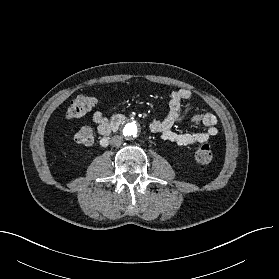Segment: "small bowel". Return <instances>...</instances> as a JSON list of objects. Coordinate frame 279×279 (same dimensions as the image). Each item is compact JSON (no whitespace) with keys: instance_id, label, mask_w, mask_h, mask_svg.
I'll return each instance as SVG.
<instances>
[{"instance_id":"obj_1","label":"small bowel","mask_w":279,"mask_h":279,"mask_svg":"<svg viewBox=\"0 0 279 279\" xmlns=\"http://www.w3.org/2000/svg\"><path fill=\"white\" fill-rule=\"evenodd\" d=\"M192 92L188 89H178L172 92L169 101V112L165 118L154 120L150 123V130L161 136L164 141L175 143L179 146H189L206 143L210 138L217 135V118L211 112H202L192 118L196 125H203L204 130L196 133H177L173 126L181 121L184 114L192 107L183 110L182 102L190 99ZM114 119V118H113ZM100 134L106 135L112 123L102 112L97 111L93 115Z\"/></svg>"}]
</instances>
